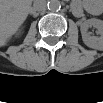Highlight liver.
<instances>
[{
  "label": "liver",
  "mask_w": 103,
  "mask_h": 103,
  "mask_svg": "<svg viewBox=\"0 0 103 103\" xmlns=\"http://www.w3.org/2000/svg\"><path fill=\"white\" fill-rule=\"evenodd\" d=\"M30 2L25 0H5L1 2L0 42L6 45L26 20Z\"/></svg>",
  "instance_id": "6515ba94"
}]
</instances>
